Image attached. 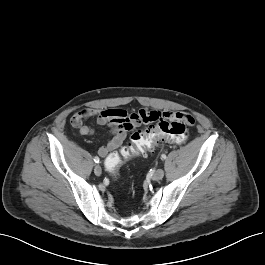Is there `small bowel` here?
<instances>
[{
	"mask_svg": "<svg viewBox=\"0 0 265 265\" xmlns=\"http://www.w3.org/2000/svg\"><path fill=\"white\" fill-rule=\"evenodd\" d=\"M151 113L152 112L145 110L128 113L122 109L84 108L71 117V124L79 130V133L82 136H90L94 133V130L84 123L88 118L94 117L99 125L108 126L112 137L105 145L98 149V155L105 158L122 145L132 130L142 124L149 123ZM165 116L180 118L182 120H187L191 117L190 115L181 112H167Z\"/></svg>",
	"mask_w": 265,
	"mask_h": 265,
	"instance_id": "small-bowel-1",
	"label": "small bowel"
}]
</instances>
